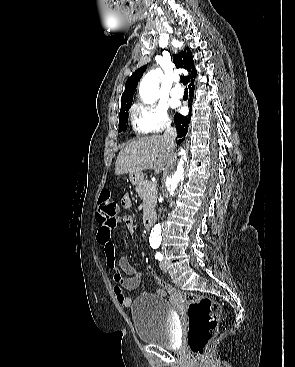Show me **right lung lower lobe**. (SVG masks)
Listing matches in <instances>:
<instances>
[{
	"instance_id": "right-lung-lower-lobe-1",
	"label": "right lung lower lobe",
	"mask_w": 295,
	"mask_h": 367,
	"mask_svg": "<svg viewBox=\"0 0 295 367\" xmlns=\"http://www.w3.org/2000/svg\"><path fill=\"white\" fill-rule=\"evenodd\" d=\"M194 89H195L194 86L190 89V100H189L190 102L192 101V97L194 95ZM190 120H191V114H189L188 116H182L180 114H175L174 123L177 127V133H178L177 145H179L184 140V137L188 130V125L190 123Z\"/></svg>"
}]
</instances>
